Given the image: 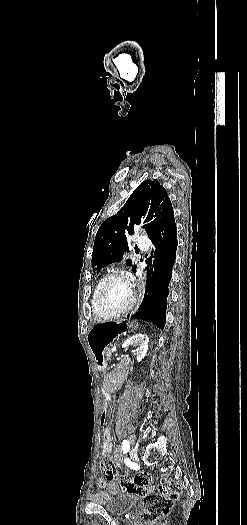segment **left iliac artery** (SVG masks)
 Segmentation results:
<instances>
[{
  "label": "left iliac artery",
  "instance_id": "44dca946",
  "mask_svg": "<svg viewBox=\"0 0 247 525\" xmlns=\"http://www.w3.org/2000/svg\"><path fill=\"white\" fill-rule=\"evenodd\" d=\"M129 448H130V443L128 440H123L122 442V450L124 453H127L129 451Z\"/></svg>",
  "mask_w": 247,
  "mask_h": 525
}]
</instances>
